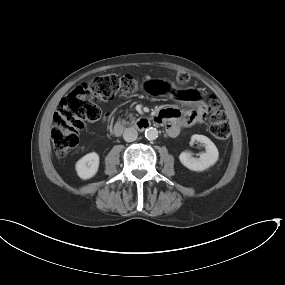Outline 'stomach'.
<instances>
[{
  "label": "stomach",
  "mask_w": 285,
  "mask_h": 285,
  "mask_svg": "<svg viewBox=\"0 0 285 285\" xmlns=\"http://www.w3.org/2000/svg\"><path fill=\"white\" fill-rule=\"evenodd\" d=\"M159 84L164 83L158 80H150L147 81L146 86L150 88ZM176 98L181 104L192 106L196 103V100L199 98V95L192 89H185L184 91L176 93Z\"/></svg>",
  "instance_id": "0dacf381"
}]
</instances>
